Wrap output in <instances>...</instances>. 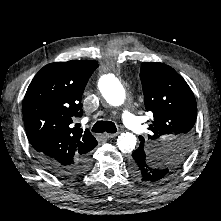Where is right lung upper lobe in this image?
<instances>
[{"label": "right lung upper lobe", "instance_id": "1", "mask_svg": "<svg viewBox=\"0 0 221 221\" xmlns=\"http://www.w3.org/2000/svg\"><path fill=\"white\" fill-rule=\"evenodd\" d=\"M96 61L74 60L44 66L30 83L23 101L28 139L37 156L72 163L98 142L88 129L73 126L82 116L81 97Z\"/></svg>", "mask_w": 221, "mask_h": 221}]
</instances>
